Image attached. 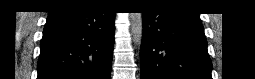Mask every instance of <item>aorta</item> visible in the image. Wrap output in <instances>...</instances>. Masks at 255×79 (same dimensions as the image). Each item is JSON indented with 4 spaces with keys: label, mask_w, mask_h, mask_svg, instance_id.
I'll list each match as a JSON object with an SVG mask.
<instances>
[{
    "label": "aorta",
    "mask_w": 255,
    "mask_h": 79,
    "mask_svg": "<svg viewBox=\"0 0 255 79\" xmlns=\"http://www.w3.org/2000/svg\"><path fill=\"white\" fill-rule=\"evenodd\" d=\"M130 28L133 41L137 45H141L143 36V17L142 13H130Z\"/></svg>",
    "instance_id": "1"
}]
</instances>
